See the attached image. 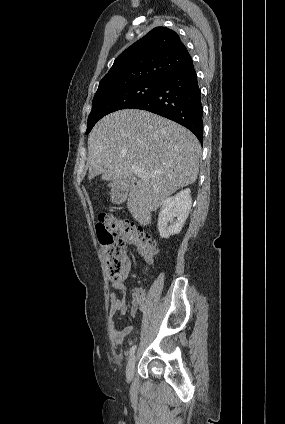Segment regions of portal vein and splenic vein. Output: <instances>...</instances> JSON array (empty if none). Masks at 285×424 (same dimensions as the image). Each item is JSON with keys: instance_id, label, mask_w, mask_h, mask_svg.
<instances>
[{"instance_id": "obj_1", "label": "portal vein and splenic vein", "mask_w": 285, "mask_h": 424, "mask_svg": "<svg viewBox=\"0 0 285 424\" xmlns=\"http://www.w3.org/2000/svg\"><path fill=\"white\" fill-rule=\"evenodd\" d=\"M131 172L143 177L153 176V174L145 173L138 165H132Z\"/></svg>"}]
</instances>
